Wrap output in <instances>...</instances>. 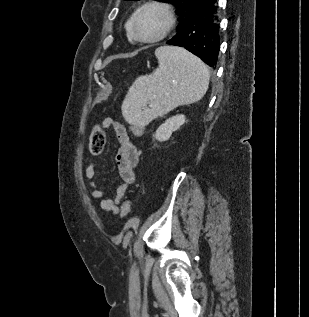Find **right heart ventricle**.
<instances>
[{
    "label": "right heart ventricle",
    "mask_w": 309,
    "mask_h": 317,
    "mask_svg": "<svg viewBox=\"0 0 309 317\" xmlns=\"http://www.w3.org/2000/svg\"><path fill=\"white\" fill-rule=\"evenodd\" d=\"M132 18L133 16H131L127 22H126V25H125V28H126V33H127V37L132 40L134 37H133V34H132Z\"/></svg>",
    "instance_id": "e07e8e85"
}]
</instances>
